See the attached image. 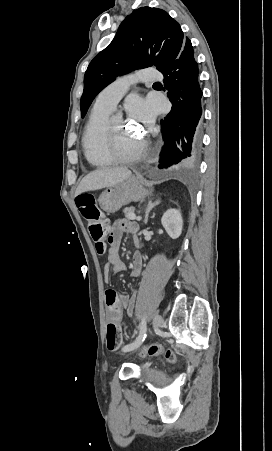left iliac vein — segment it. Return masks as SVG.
I'll list each match as a JSON object with an SVG mask.
<instances>
[{
	"label": "left iliac vein",
	"instance_id": "left-iliac-vein-1",
	"mask_svg": "<svg viewBox=\"0 0 272 451\" xmlns=\"http://www.w3.org/2000/svg\"><path fill=\"white\" fill-rule=\"evenodd\" d=\"M164 320L160 314H155L153 318V327L155 329H160Z\"/></svg>",
	"mask_w": 272,
	"mask_h": 451
}]
</instances>
